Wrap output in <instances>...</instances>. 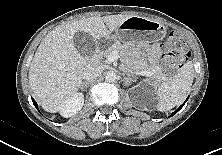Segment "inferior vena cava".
Listing matches in <instances>:
<instances>
[{
    "label": "inferior vena cava",
    "mask_w": 222,
    "mask_h": 155,
    "mask_svg": "<svg viewBox=\"0 0 222 155\" xmlns=\"http://www.w3.org/2000/svg\"><path fill=\"white\" fill-rule=\"evenodd\" d=\"M102 71H103V67L101 65L93 63L84 69L82 73V77L86 81H90L98 77L102 73Z\"/></svg>",
    "instance_id": "1"
}]
</instances>
